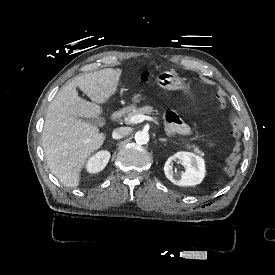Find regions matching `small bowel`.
Here are the masks:
<instances>
[{
	"label": "small bowel",
	"instance_id": "obj_1",
	"mask_svg": "<svg viewBox=\"0 0 275 275\" xmlns=\"http://www.w3.org/2000/svg\"><path fill=\"white\" fill-rule=\"evenodd\" d=\"M143 76L148 77L151 74L149 68L144 67L141 70ZM166 130L170 135L181 134L187 135L190 133L189 126L183 121V119L176 112H169L166 115Z\"/></svg>",
	"mask_w": 275,
	"mask_h": 275
}]
</instances>
